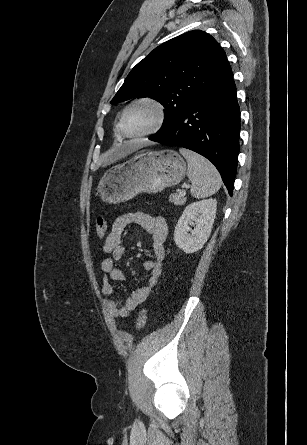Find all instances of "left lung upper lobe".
Listing matches in <instances>:
<instances>
[{
    "label": "left lung upper lobe",
    "mask_w": 307,
    "mask_h": 445,
    "mask_svg": "<svg viewBox=\"0 0 307 445\" xmlns=\"http://www.w3.org/2000/svg\"><path fill=\"white\" fill-rule=\"evenodd\" d=\"M230 70L217 41L203 31L193 30L161 44L141 60L110 103L135 97L157 100L165 107L160 133Z\"/></svg>",
    "instance_id": "1"
}]
</instances>
